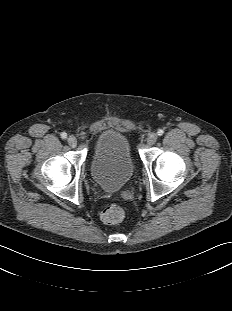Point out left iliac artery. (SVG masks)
<instances>
[{"mask_svg":"<svg viewBox=\"0 0 232 311\" xmlns=\"http://www.w3.org/2000/svg\"><path fill=\"white\" fill-rule=\"evenodd\" d=\"M164 134V130L163 129H159L158 131H157V135L158 136H162Z\"/></svg>","mask_w":232,"mask_h":311,"instance_id":"obj_1","label":"left iliac artery"}]
</instances>
